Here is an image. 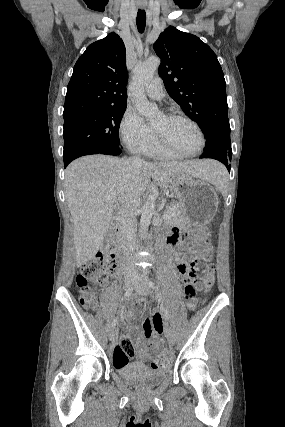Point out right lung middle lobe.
Here are the masks:
<instances>
[{
	"instance_id": "dd1d6c3e",
	"label": "right lung middle lobe",
	"mask_w": 285,
	"mask_h": 427,
	"mask_svg": "<svg viewBox=\"0 0 285 427\" xmlns=\"http://www.w3.org/2000/svg\"><path fill=\"white\" fill-rule=\"evenodd\" d=\"M124 107H110L64 119V163L88 154L119 155Z\"/></svg>"
}]
</instances>
